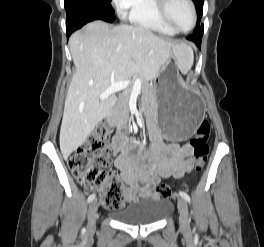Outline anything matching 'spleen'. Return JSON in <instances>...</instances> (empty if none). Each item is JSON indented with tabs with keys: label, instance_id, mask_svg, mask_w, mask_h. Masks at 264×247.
Segmentation results:
<instances>
[{
	"label": "spleen",
	"instance_id": "3e777b00",
	"mask_svg": "<svg viewBox=\"0 0 264 247\" xmlns=\"http://www.w3.org/2000/svg\"><path fill=\"white\" fill-rule=\"evenodd\" d=\"M174 54L181 73L187 74L194 63V53L192 48L186 44H181L175 48Z\"/></svg>",
	"mask_w": 264,
	"mask_h": 247
}]
</instances>
